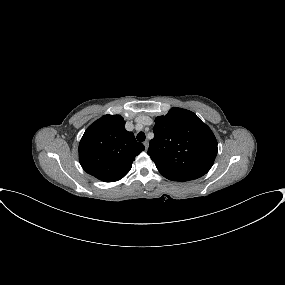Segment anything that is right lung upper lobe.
<instances>
[{
    "mask_svg": "<svg viewBox=\"0 0 285 285\" xmlns=\"http://www.w3.org/2000/svg\"><path fill=\"white\" fill-rule=\"evenodd\" d=\"M120 115H105L90 125L79 144V161L90 175L114 182L131 169L135 157L144 150Z\"/></svg>",
    "mask_w": 285,
    "mask_h": 285,
    "instance_id": "obj_1",
    "label": "right lung upper lobe"
}]
</instances>
